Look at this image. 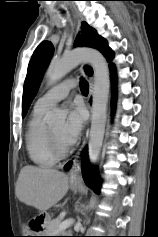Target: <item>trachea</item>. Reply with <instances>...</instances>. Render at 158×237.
<instances>
[{"instance_id":"3493384b","label":"trachea","mask_w":158,"mask_h":237,"mask_svg":"<svg viewBox=\"0 0 158 237\" xmlns=\"http://www.w3.org/2000/svg\"><path fill=\"white\" fill-rule=\"evenodd\" d=\"M80 90L83 94H87L89 91V85L85 80H81Z\"/></svg>"}]
</instances>
